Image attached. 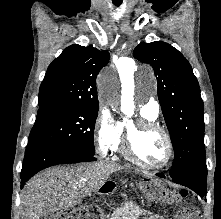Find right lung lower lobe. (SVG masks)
<instances>
[{
	"label": "right lung lower lobe",
	"instance_id": "obj_1",
	"mask_svg": "<svg viewBox=\"0 0 221 219\" xmlns=\"http://www.w3.org/2000/svg\"><path fill=\"white\" fill-rule=\"evenodd\" d=\"M96 160L94 155L76 152L44 140H33L26 148L21 171V188L34 174L47 167Z\"/></svg>",
	"mask_w": 221,
	"mask_h": 219
}]
</instances>
